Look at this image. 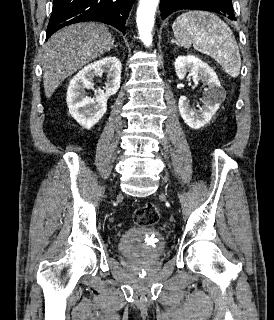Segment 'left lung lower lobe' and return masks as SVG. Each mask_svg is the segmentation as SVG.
Instances as JSON below:
<instances>
[{
  "label": "left lung lower lobe",
  "mask_w": 274,
  "mask_h": 320,
  "mask_svg": "<svg viewBox=\"0 0 274 320\" xmlns=\"http://www.w3.org/2000/svg\"><path fill=\"white\" fill-rule=\"evenodd\" d=\"M159 9L163 20L172 12L181 9L217 12L231 20H236L232 0H161Z\"/></svg>",
  "instance_id": "1"
}]
</instances>
